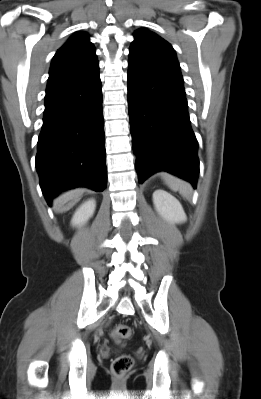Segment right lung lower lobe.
I'll return each instance as SVG.
<instances>
[{"mask_svg":"<svg viewBox=\"0 0 261 399\" xmlns=\"http://www.w3.org/2000/svg\"><path fill=\"white\" fill-rule=\"evenodd\" d=\"M36 169L42 192L51 199L78 186L106 188L102 90L99 72L62 89L46 92Z\"/></svg>","mask_w":261,"mask_h":399,"instance_id":"right-lung-lower-lobe-1","label":"right lung lower lobe"}]
</instances>
